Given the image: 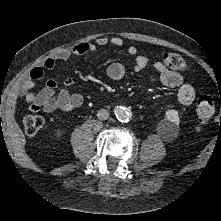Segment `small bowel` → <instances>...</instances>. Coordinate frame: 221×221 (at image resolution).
Returning a JSON list of instances; mask_svg holds the SVG:
<instances>
[{
	"label": "small bowel",
	"instance_id": "small-bowel-1",
	"mask_svg": "<svg viewBox=\"0 0 221 221\" xmlns=\"http://www.w3.org/2000/svg\"><path fill=\"white\" fill-rule=\"evenodd\" d=\"M108 44L122 47L125 45V41L119 36H101L95 41H85L72 47L58 50L45 59L39 67L34 68L30 76L22 81L19 87L20 95L25 99L29 108L34 111L42 109L45 112H68L79 108L83 102L81 94L70 93L65 88L58 91L59 84L54 79H48L43 89L35 91L37 81L44 77L45 70L54 69L58 61L67 60L71 56L93 53L98 47H104ZM127 50L130 55L135 56L134 71L140 72L144 70L148 64L147 57L139 55L135 46H129ZM153 68L158 73L159 80L164 86L177 90V99L180 104L189 106L193 103L195 90L190 83L184 81L178 72L166 68L162 62H155ZM125 73L124 65L118 62L110 64L107 68L108 77L114 81L123 79ZM73 83L74 81L70 77L63 80L65 87H69Z\"/></svg>",
	"mask_w": 221,
	"mask_h": 221
}]
</instances>
